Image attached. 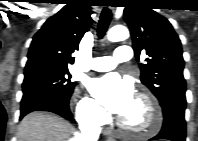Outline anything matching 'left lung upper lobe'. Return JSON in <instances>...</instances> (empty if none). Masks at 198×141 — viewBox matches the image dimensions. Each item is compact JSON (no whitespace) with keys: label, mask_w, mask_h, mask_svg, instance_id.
I'll list each match as a JSON object with an SVG mask.
<instances>
[{"label":"left lung upper lobe","mask_w":198,"mask_h":141,"mask_svg":"<svg viewBox=\"0 0 198 141\" xmlns=\"http://www.w3.org/2000/svg\"><path fill=\"white\" fill-rule=\"evenodd\" d=\"M148 0H131L124 9L136 58L146 52V64H140L141 82L166 103L185 98L184 60L181 42L171 23L153 11Z\"/></svg>","instance_id":"obj_1"}]
</instances>
